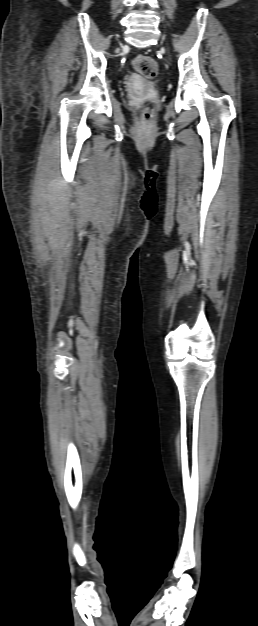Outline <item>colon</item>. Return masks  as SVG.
<instances>
[{"label":"colon","instance_id":"obj_1","mask_svg":"<svg viewBox=\"0 0 258 626\" xmlns=\"http://www.w3.org/2000/svg\"><path fill=\"white\" fill-rule=\"evenodd\" d=\"M135 70L147 79H153L158 73V65L156 61L149 56L139 55L133 62ZM144 120L149 118V108L145 106L142 110Z\"/></svg>","mask_w":258,"mask_h":626}]
</instances>
